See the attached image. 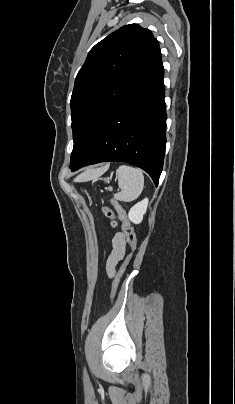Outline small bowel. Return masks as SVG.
I'll use <instances>...</instances> for the list:
<instances>
[{"label": "small bowel", "instance_id": "small-bowel-1", "mask_svg": "<svg viewBox=\"0 0 235 404\" xmlns=\"http://www.w3.org/2000/svg\"><path fill=\"white\" fill-rule=\"evenodd\" d=\"M126 253V243L122 233H116L112 239V250L107 257L105 263L106 273L109 277H113L116 268L124 260Z\"/></svg>", "mask_w": 235, "mask_h": 404}]
</instances>
